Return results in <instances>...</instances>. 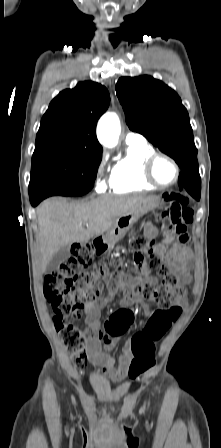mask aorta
I'll return each instance as SVG.
<instances>
[{
  "label": "aorta",
  "instance_id": "obj_1",
  "mask_svg": "<svg viewBox=\"0 0 221 448\" xmlns=\"http://www.w3.org/2000/svg\"><path fill=\"white\" fill-rule=\"evenodd\" d=\"M121 132L120 120L117 114L105 113L97 125V137L99 142L108 148H114L118 144Z\"/></svg>",
  "mask_w": 221,
  "mask_h": 448
}]
</instances>
